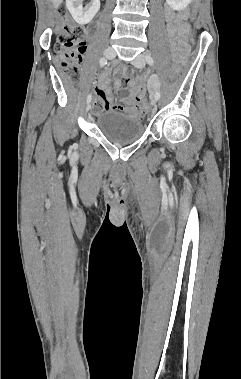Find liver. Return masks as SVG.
Here are the masks:
<instances>
[{"label": "liver", "instance_id": "6515ba94", "mask_svg": "<svg viewBox=\"0 0 241 379\" xmlns=\"http://www.w3.org/2000/svg\"><path fill=\"white\" fill-rule=\"evenodd\" d=\"M52 2L55 7H58L61 4L62 0H52Z\"/></svg>", "mask_w": 241, "mask_h": 379}]
</instances>
